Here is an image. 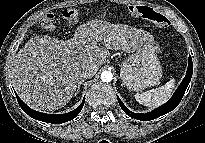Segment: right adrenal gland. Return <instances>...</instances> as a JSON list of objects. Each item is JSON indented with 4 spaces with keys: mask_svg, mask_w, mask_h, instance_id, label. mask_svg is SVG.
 I'll list each match as a JSON object with an SVG mask.
<instances>
[{
    "mask_svg": "<svg viewBox=\"0 0 205 143\" xmlns=\"http://www.w3.org/2000/svg\"><path fill=\"white\" fill-rule=\"evenodd\" d=\"M84 82V80H81L80 81V84H79V87H78V89H77V91H76V93H75V96L78 94V92H79V89H80V86H81V84Z\"/></svg>",
    "mask_w": 205,
    "mask_h": 143,
    "instance_id": "obj_1",
    "label": "right adrenal gland"
}]
</instances>
